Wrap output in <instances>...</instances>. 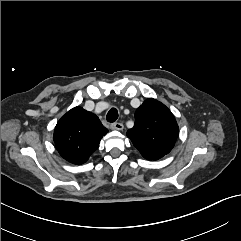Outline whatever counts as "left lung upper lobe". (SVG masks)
Listing matches in <instances>:
<instances>
[{
  "label": "left lung upper lobe",
  "instance_id": "5c2ea615",
  "mask_svg": "<svg viewBox=\"0 0 241 241\" xmlns=\"http://www.w3.org/2000/svg\"><path fill=\"white\" fill-rule=\"evenodd\" d=\"M178 131L171 111L149 98L136 110L134 127L127 131V136L145 159L158 160L172 150Z\"/></svg>",
  "mask_w": 241,
  "mask_h": 241
}]
</instances>
